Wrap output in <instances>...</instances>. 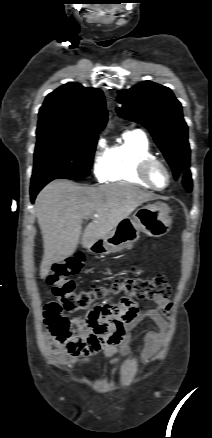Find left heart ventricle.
Listing matches in <instances>:
<instances>
[{"label":"left heart ventricle","mask_w":212,"mask_h":438,"mask_svg":"<svg viewBox=\"0 0 212 438\" xmlns=\"http://www.w3.org/2000/svg\"><path fill=\"white\" fill-rule=\"evenodd\" d=\"M149 178L151 182L157 187H164L168 182V177L160 165H153L149 171Z\"/></svg>","instance_id":"1"}]
</instances>
